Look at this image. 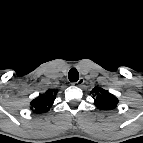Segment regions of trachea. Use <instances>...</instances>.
I'll return each mask as SVG.
<instances>
[{
    "instance_id": "1",
    "label": "trachea",
    "mask_w": 143,
    "mask_h": 143,
    "mask_svg": "<svg viewBox=\"0 0 143 143\" xmlns=\"http://www.w3.org/2000/svg\"><path fill=\"white\" fill-rule=\"evenodd\" d=\"M68 78L70 82H76L79 79V73L75 68L70 69L68 73Z\"/></svg>"
}]
</instances>
